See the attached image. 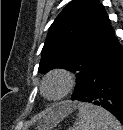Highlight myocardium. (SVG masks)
<instances>
[{
  "instance_id": "myocardium-1",
  "label": "myocardium",
  "mask_w": 123,
  "mask_h": 130,
  "mask_svg": "<svg viewBox=\"0 0 123 130\" xmlns=\"http://www.w3.org/2000/svg\"><path fill=\"white\" fill-rule=\"evenodd\" d=\"M54 78H59L63 82L62 89L55 95H49L46 92V85L47 83L54 79ZM76 83L75 76L74 74L65 68H55L50 70L43 78L42 83H41V92L42 94L49 100H60L67 96L72 89L74 88Z\"/></svg>"
}]
</instances>
